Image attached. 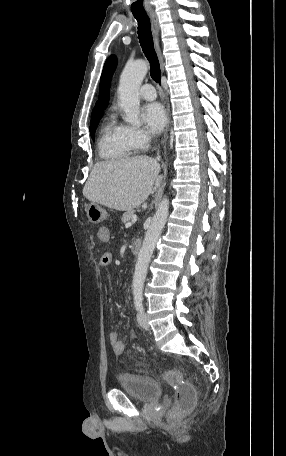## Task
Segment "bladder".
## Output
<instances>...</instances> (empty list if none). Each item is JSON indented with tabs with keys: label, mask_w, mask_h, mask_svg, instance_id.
<instances>
[{
	"label": "bladder",
	"mask_w": 286,
	"mask_h": 456,
	"mask_svg": "<svg viewBox=\"0 0 286 456\" xmlns=\"http://www.w3.org/2000/svg\"><path fill=\"white\" fill-rule=\"evenodd\" d=\"M119 388L141 402H153L162 397V388L153 378L123 372L118 376Z\"/></svg>",
	"instance_id": "31cf9c89"
}]
</instances>
